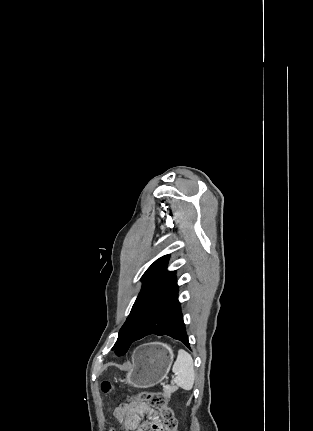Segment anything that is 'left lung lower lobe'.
Listing matches in <instances>:
<instances>
[{
  "instance_id": "obj_1",
  "label": "left lung lower lobe",
  "mask_w": 313,
  "mask_h": 431,
  "mask_svg": "<svg viewBox=\"0 0 313 431\" xmlns=\"http://www.w3.org/2000/svg\"><path fill=\"white\" fill-rule=\"evenodd\" d=\"M168 335L189 347L188 336L183 322L178 296L162 307L143 327L136 340L148 335Z\"/></svg>"
}]
</instances>
